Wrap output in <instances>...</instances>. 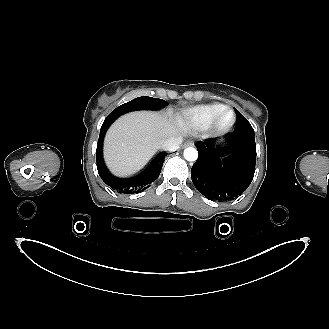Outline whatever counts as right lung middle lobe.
I'll return each mask as SVG.
<instances>
[{
	"label": "right lung middle lobe",
	"mask_w": 329,
	"mask_h": 329,
	"mask_svg": "<svg viewBox=\"0 0 329 329\" xmlns=\"http://www.w3.org/2000/svg\"><path fill=\"white\" fill-rule=\"evenodd\" d=\"M168 103L159 98L152 97H138L130 102H127L112 111V113L107 117L108 119H116L121 114L137 109H160L167 106Z\"/></svg>",
	"instance_id": "right-lung-middle-lobe-1"
}]
</instances>
